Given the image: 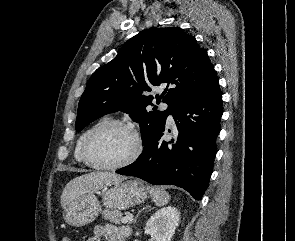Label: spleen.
Segmentation results:
<instances>
[{
	"label": "spleen",
	"instance_id": "spleen-1",
	"mask_svg": "<svg viewBox=\"0 0 295 241\" xmlns=\"http://www.w3.org/2000/svg\"><path fill=\"white\" fill-rule=\"evenodd\" d=\"M147 190L157 206H163L169 202L170 196L162 188L148 186Z\"/></svg>",
	"mask_w": 295,
	"mask_h": 241
}]
</instances>
